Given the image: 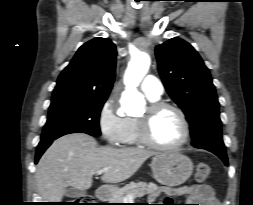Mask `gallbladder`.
Returning <instances> with one entry per match:
<instances>
[{
	"label": "gallbladder",
	"mask_w": 253,
	"mask_h": 205,
	"mask_svg": "<svg viewBox=\"0 0 253 205\" xmlns=\"http://www.w3.org/2000/svg\"><path fill=\"white\" fill-rule=\"evenodd\" d=\"M86 192L84 190H79L76 188H67L65 191V196L70 197V198H80L84 196Z\"/></svg>",
	"instance_id": "gallbladder-1"
}]
</instances>
